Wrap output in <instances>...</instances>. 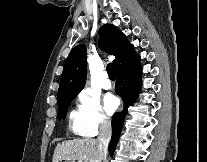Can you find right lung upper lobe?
Wrapping results in <instances>:
<instances>
[{"label": "right lung upper lobe", "mask_w": 207, "mask_h": 162, "mask_svg": "<svg viewBox=\"0 0 207 162\" xmlns=\"http://www.w3.org/2000/svg\"><path fill=\"white\" fill-rule=\"evenodd\" d=\"M99 37L100 48L115 56L113 60L115 71L138 56L125 35L114 25L102 26L99 29ZM86 64V48L84 45H78L73 48L66 60L58 90V99L76 96L82 90L86 80Z\"/></svg>", "instance_id": "1"}]
</instances>
